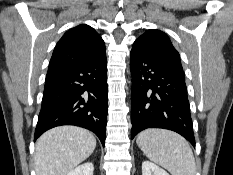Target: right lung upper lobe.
<instances>
[{"label": "right lung upper lobe", "instance_id": "right-lung-upper-lobe-1", "mask_svg": "<svg viewBox=\"0 0 233 175\" xmlns=\"http://www.w3.org/2000/svg\"><path fill=\"white\" fill-rule=\"evenodd\" d=\"M105 51L104 41L90 26L68 30L53 51L48 73L92 59Z\"/></svg>", "mask_w": 233, "mask_h": 175}]
</instances>
